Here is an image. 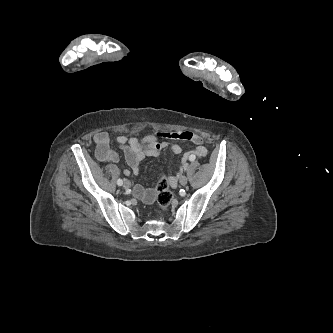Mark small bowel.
<instances>
[{"label":"small bowel","mask_w":333,"mask_h":333,"mask_svg":"<svg viewBox=\"0 0 333 333\" xmlns=\"http://www.w3.org/2000/svg\"><path fill=\"white\" fill-rule=\"evenodd\" d=\"M96 149L95 154L100 162H117L118 154L109 146V136L106 132H97L93 137ZM168 140H182L191 141L195 144V149L186 152L182 158L180 168L170 177L169 183L172 187H176L178 178L181 172L187 168L188 162L194 161L206 155L207 150L203 145V140L200 136L189 131L178 132H157L148 134L146 141L150 143V149L146 151L141 142L135 137H127L121 135L117 138L119 147L124 152L126 161L130 169H124V174L130 176L131 174H138L141 162L146 155L159 156L160 153L169 149L174 153H181L182 149L176 144L168 142ZM134 195L146 203H151L154 199V192L152 189H145L142 186H136Z\"/></svg>","instance_id":"1"}]
</instances>
